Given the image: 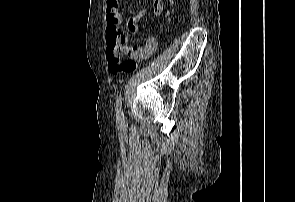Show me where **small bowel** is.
<instances>
[{
  "label": "small bowel",
  "instance_id": "small-bowel-1",
  "mask_svg": "<svg viewBox=\"0 0 295 202\" xmlns=\"http://www.w3.org/2000/svg\"><path fill=\"white\" fill-rule=\"evenodd\" d=\"M164 8L162 0H152V6L148 9H142L130 19L129 25L135 26V23L147 14L158 16ZM106 19L109 24H121L123 16L118 9V0H106ZM135 28V27H134ZM157 48V40L153 37L147 40L145 46L128 45L126 41L121 47H108L109 71L112 74H120L122 72H131L134 70L132 63H120L121 55H129L133 59L142 60L151 56Z\"/></svg>",
  "mask_w": 295,
  "mask_h": 202
}]
</instances>
